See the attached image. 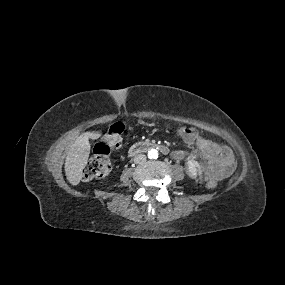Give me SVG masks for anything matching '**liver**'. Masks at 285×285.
<instances>
[{"label": "liver", "mask_w": 285, "mask_h": 285, "mask_svg": "<svg viewBox=\"0 0 285 285\" xmlns=\"http://www.w3.org/2000/svg\"><path fill=\"white\" fill-rule=\"evenodd\" d=\"M100 136L97 132H86L71 144L65 160V173L71 185H78L83 177V169L91 149L89 139H97Z\"/></svg>", "instance_id": "1"}]
</instances>
